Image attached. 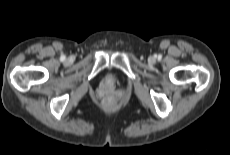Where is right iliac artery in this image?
<instances>
[{
    "label": "right iliac artery",
    "mask_w": 230,
    "mask_h": 155,
    "mask_svg": "<svg viewBox=\"0 0 230 155\" xmlns=\"http://www.w3.org/2000/svg\"><path fill=\"white\" fill-rule=\"evenodd\" d=\"M61 59L64 60V59H65V56H61Z\"/></svg>",
    "instance_id": "82829eb1"
}]
</instances>
